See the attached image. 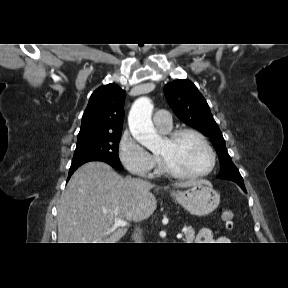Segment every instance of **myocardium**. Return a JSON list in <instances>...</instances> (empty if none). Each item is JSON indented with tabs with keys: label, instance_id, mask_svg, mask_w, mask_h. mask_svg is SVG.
<instances>
[{
	"label": "myocardium",
	"instance_id": "1",
	"mask_svg": "<svg viewBox=\"0 0 288 288\" xmlns=\"http://www.w3.org/2000/svg\"><path fill=\"white\" fill-rule=\"evenodd\" d=\"M185 135H192L196 137L205 146L210 156L209 167L205 171L200 172V173L187 174V173L179 171L178 169L173 167L166 159L162 158L161 156H158L162 171L167 175H170L172 177L179 178V179H200V178L206 177L207 175L213 172L216 166L217 159H216V153L214 151V148L212 147L208 139L201 132L193 128H181V129L171 131L167 134L166 139L169 142L173 143Z\"/></svg>",
	"mask_w": 288,
	"mask_h": 288
}]
</instances>
